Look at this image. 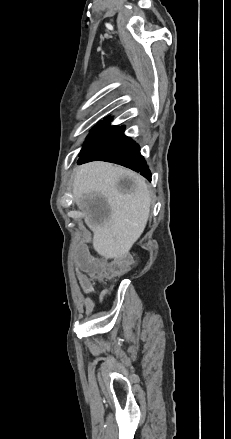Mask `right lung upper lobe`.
<instances>
[{
  "label": "right lung upper lobe",
  "mask_w": 231,
  "mask_h": 439,
  "mask_svg": "<svg viewBox=\"0 0 231 439\" xmlns=\"http://www.w3.org/2000/svg\"><path fill=\"white\" fill-rule=\"evenodd\" d=\"M107 118H108V119H112V117H110V116H109V117H107Z\"/></svg>",
  "instance_id": "1"
}]
</instances>
